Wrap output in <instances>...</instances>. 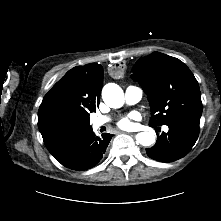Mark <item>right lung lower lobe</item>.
<instances>
[{
    "instance_id": "obj_1",
    "label": "right lung lower lobe",
    "mask_w": 221,
    "mask_h": 221,
    "mask_svg": "<svg viewBox=\"0 0 221 221\" xmlns=\"http://www.w3.org/2000/svg\"><path fill=\"white\" fill-rule=\"evenodd\" d=\"M111 138L112 135L108 133L102 134L101 138L95 136L91 128L70 145L52 155L67 168L87 170L102 159Z\"/></svg>"
}]
</instances>
